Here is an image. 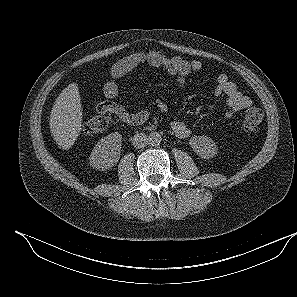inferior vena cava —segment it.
<instances>
[{"label": "inferior vena cava", "instance_id": "602c4592", "mask_svg": "<svg viewBox=\"0 0 297 297\" xmlns=\"http://www.w3.org/2000/svg\"><path fill=\"white\" fill-rule=\"evenodd\" d=\"M149 140L145 133L137 132L132 138V144L136 148H143L148 144Z\"/></svg>", "mask_w": 297, "mask_h": 297}]
</instances>
